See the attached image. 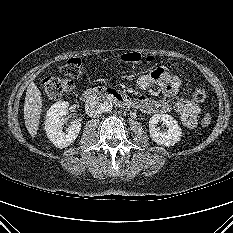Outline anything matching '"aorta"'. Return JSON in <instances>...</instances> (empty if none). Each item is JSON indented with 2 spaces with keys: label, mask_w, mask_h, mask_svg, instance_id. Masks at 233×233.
<instances>
[{
  "label": "aorta",
  "mask_w": 233,
  "mask_h": 233,
  "mask_svg": "<svg viewBox=\"0 0 233 233\" xmlns=\"http://www.w3.org/2000/svg\"><path fill=\"white\" fill-rule=\"evenodd\" d=\"M113 104L111 102H104L103 103V112L109 113L112 111Z\"/></svg>",
  "instance_id": "1"
}]
</instances>
